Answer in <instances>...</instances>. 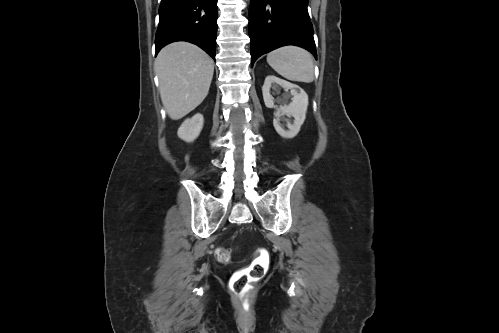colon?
I'll return each instance as SVG.
<instances>
[{
  "mask_svg": "<svg viewBox=\"0 0 499 333\" xmlns=\"http://www.w3.org/2000/svg\"><path fill=\"white\" fill-rule=\"evenodd\" d=\"M215 255L217 260L222 263H227L231 259V251L227 248H218ZM267 265L268 255L266 252H261L259 257L248 268L234 275L231 289L242 303L246 301L251 282L260 279L264 275Z\"/></svg>",
  "mask_w": 499,
  "mask_h": 333,
  "instance_id": "1",
  "label": "colon"
}]
</instances>
